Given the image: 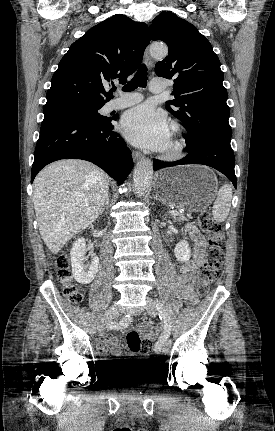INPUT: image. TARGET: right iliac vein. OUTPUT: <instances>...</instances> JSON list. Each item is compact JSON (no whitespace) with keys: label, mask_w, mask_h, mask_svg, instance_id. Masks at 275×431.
Segmentation results:
<instances>
[{"label":"right iliac vein","mask_w":275,"mask_h":431,"mask_svg":"<svg viewBox=\"0 0 275 431\" xmlns=\"http://www.w3.org/2000/svg\"><path fill=\"white\" fill-rule=\"evenodd\" d=\"M118 313L119 307L117 305H112L111 307H109L104 316L99 320L97 324V329L99 331H102L105 328L107 322L114 319L118 315Z\"/></svg>","instance_id":"1"}]
</instances>
